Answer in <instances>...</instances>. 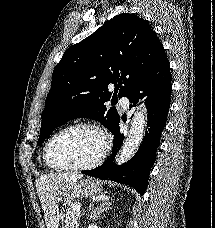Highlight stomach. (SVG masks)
<instances>
[{"label":"stomach","instance_id":"1","mask_svg":"<svg viewBox=\"0 0 215 228\" xmlns=\"http://www.w3.org/2000/svg\"><path fill=\"white\" fill-rule=\"evenodd\" d=\"M103 182L99 180H81V182H67L60 184L56 198L61 200H75V198H93L102 192Z\"/></svg>","mask_w":215,"mask_h":228}]
</instances>
